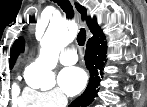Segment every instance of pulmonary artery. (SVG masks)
I'll return each instance as SVG.
<instances>
[{
  "label": "pulmonary artery",
  "mask_w": 147,
  "mask_h": 107,
  "mask_svg": "<svg viewBox=\"0 0 147 107\" xmlns=\"http://www.w3.org/2000/svg\"><path fill=\"white\" fill-rule=\"evenodd\" d=\"M77 55L74 49L64 50L60 55V62L64 65H72L77 62Z\"/></svg>",
  "instance_id": "1"
}]
</instances>
